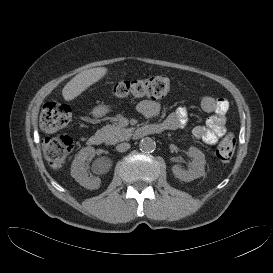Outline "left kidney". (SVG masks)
Returning a JSON list of instances; mask_svg holds the SVG:
<instances>
[{
	"label": "left kidney",
	"mask_w": 273,
	"mask_h": 273,
	"mask_svg": "<svg viewBox=\"0 0 273 273\" xmlns=\"http://www.w3.org/2000/svg\"><path fill=\"white\" fill-rule=\"evenodd\" d=\"M188 155L193 157L191 168L184 170L178 165L172 167L174 175L178 179L186 182L202 177L205 174L206 164L205 155L198 148L190 147L188 149Z\"/></svg>",
	"instance_id": "1"
}]
</instances>
